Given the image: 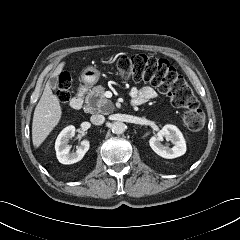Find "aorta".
<instances>
[{"instance_id":"aorta-1","label":"aorta","mask_w":240,"mask_h":240,"mask_svg":"<svg viewBox=\"0 0 240 240\" xmlns=\"http://www.w3.org/2000/svg\"><path fill=\"white\" fill-rule=\"evenodd\" d=\"M126 129V125L123 122L116 121L112 124L111 130L114 134H122Z\"/></svg>"}]
</instances>
